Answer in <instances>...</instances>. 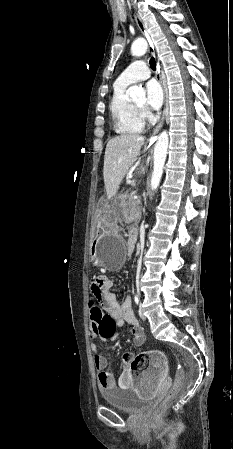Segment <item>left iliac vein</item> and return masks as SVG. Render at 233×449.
Masks as SVG:
<instances>
[{"label": "left iliac vein", "instance_id": "obj_1", "mask_svg": "<svg viewBox=\"0 0 233 449\" xmlns=\"http://www.w3.org/2000/svg\"><path fill=\"white\" fill-rule=\"evenodd\" d=\"M139 316H140V318H141L142 320H146V317H145V315H144V313H143V310L141 309V306H140V308H139Z\"/></svg>", "mask_w": 233, "mask_h": 449}]
</instances>
